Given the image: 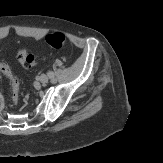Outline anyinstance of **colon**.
Masks as SVG:
<instances>
[{"label": "colon", "instance_id": "colon-1", "mask_svg": "<svg viewBox=\"0 0 163 163\" xmlns=\"http://www.w3.org/2000/svg\"><path fill=\"white\" fill-rule=\"evenodd\" d=\"M46 43L53 49H60L65 43V36L60 32L49 33L45 37ZM17 60L26 69L37 64L36 57L22 48L17 53ZM0 71L4 75L13 102H17L19 95L18 80L11 69L4 62H0Z\"/></svg>", "mask_w": 163, "mask_h": 163}]
</instances>
